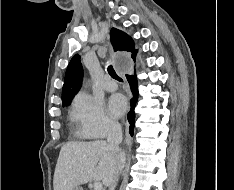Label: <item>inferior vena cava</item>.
Wrapping results in <instances>:
<instances>
[{
  "label": "inferior vena cava",
  "mask_w": 234,
  "mask_h": 190,
  "mask_svg": "<svg viewBox=\"0 0 234 190\" xmlns=\"http://www.w3.org/2000/svg\"><path fill=\"white\" fill-rule=\"evenodd\" d=\"M122 142V128L117 122H111L108 129L107 144L110 151L113 153L117 165L114 171L113 180L109 185V190H115L118 182L119 174L123 167L124 153L120 148V143Z\"/></svg>",
  "instance_id": "1"
}]
</instances>
